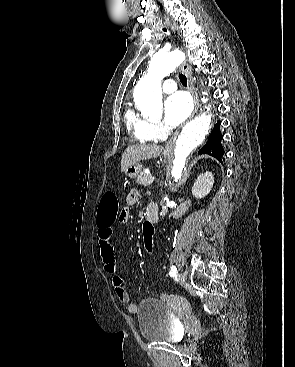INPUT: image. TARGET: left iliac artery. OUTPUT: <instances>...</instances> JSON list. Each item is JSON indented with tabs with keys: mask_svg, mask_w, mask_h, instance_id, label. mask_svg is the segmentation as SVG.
Wrapping results in <instances>:
<instances>
[{
	"mask_svg": "<svg viewBox=\"0 0 295 367\" xmlns=\"http://www.w3.org/2000/svg\"><path fill=\"white\" fill-rule=\"evenodd\" d=\"M177 268L174 266V265H172L171 266V269H170V272H169V275L171 276V277H176L177 276Z\"/></svg>",
	"mask_w": 295,
	"mask_h": 367,
	"instance_id": "44dca946",
	"label": "left iliac artery"
}]
</instances>
